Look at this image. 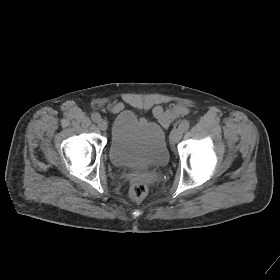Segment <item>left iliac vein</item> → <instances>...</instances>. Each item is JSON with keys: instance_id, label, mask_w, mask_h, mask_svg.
<instances>
[{"instance_id": "obj_1", "label": "left iliac vein", "mask_w": 280, "mask_h": 280, "mask_svg": "<svg viewBox=\"0 0 280 280\" xmlns=\"http://www.w3.org/2000/svg\"><path fill=\"white\" fill-rule=\"evenodd\" d=\"M183 131L180 128H175L170 133V142L175 144L182 138Z\"/></svg>"}]
</instances>
